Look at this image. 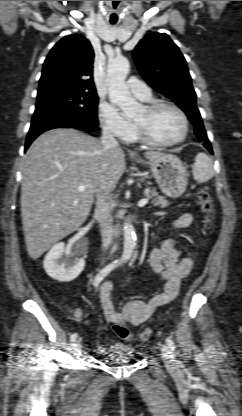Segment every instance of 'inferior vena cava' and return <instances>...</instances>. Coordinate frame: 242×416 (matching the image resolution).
<instances>
[{"label": "inferior vena cava", "mask_w": 242, "mask_h": 416, "mask_svg": "<svg viewBox=\"0 0 242 416\" xmlns=\"http://www.w3.org/2000/svg\"><path fill=\"white\" fill-rule=\"evenodd\" d=\"M101 144L105 150L118 147V142L108 127L103 128ZM112 209L113 206L106 201L104 194H101L96 202L95 215L100 222L102 247L104 251H106L112 243Z\"/></svg>", "instance_id": "602c4592"}]
</instances>
